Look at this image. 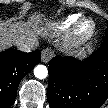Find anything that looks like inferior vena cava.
I'll list each match as a JSON object with an SVG mask.
<instances>
[{"mask_svg": "<svg viewBox=\"0 0 108 108\" xmlns=\"http://www.w3.org/2000/svg\"><path fill=\"white\" fill-rule=\"evenodd\" d=\"M38 47V41H33L30 44H20L18 46V49L23 51V52H31L32 50L36 49Z\"/></svg>", "mask_w": 108, "mask_h": 108, "instance_id": "1", "label": "inferior vena cava"}]
</instances>
